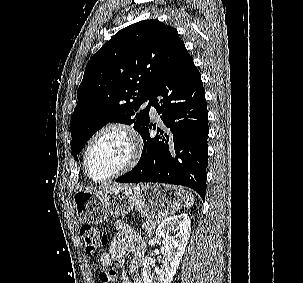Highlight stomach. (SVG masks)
Segmentation results:
<instances>
[{
	"label": "stomach",
	"instance_id": "obj_1",
	"mask_svg": "<svg viewBox=\"0 0 303 283\" xmlns=\"http://www.w3.org/2000/svg\"><path fill=\"white\" fill-rule=\"evenodd\" d=\"M185 201L182 188L162 184L124 185L102 193L78 191L73 205L80 222L99 224L109 216L124 217L133 210L147 219L164 218L178 211Z\"/></svg>",
	"mask_w": 303,
	"mask_h": 283
}]
</instances>
